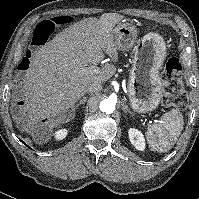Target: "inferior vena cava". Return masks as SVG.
Masks as SVG:
<instances>
[{
  "instance_id": "602c4592",
  "label": "inferior vena cava",
  "mask_w": 199,
  "mask_h": 199,
  "mask_svg": "<svg viewBox=\"0 0 199 199\" xmlns=\"http://www.w3.org/2000/svg\"><path fill=\"white\" fill-rule=\"evenodd\" d=\"M102 89V85L99 82H94L87 88L88 93L98 92Z\"/></svg>"
}]
</instances>
